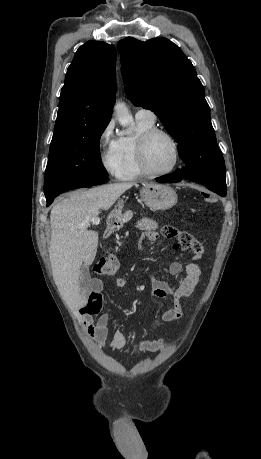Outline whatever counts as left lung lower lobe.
Wrapping results in <instances>:
<instances>
[{
  "label": "left lung lower lobe",
  "mask_w": 261,
  "mask_h": 459,
  "mask_svg": "<svg viewBox=\"0 0 261 459\" xmlns=\"http://www.w3.org/2000/svg\"><path fill=\"white\" fill-rule=\"evenodd\" d=\"M182 179H188L190 181L201 183L209 190L219 194L220 196H226V175L222 172H206L186 177L179 169H177L173 174L159 177L157 182L175 183L181 181Z\"/></svg>",
  "instance_id": "left-lung-lower-lobe-1"
}]
</instances>
